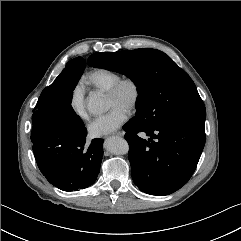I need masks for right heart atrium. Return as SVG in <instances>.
Returning a JSON list of instances; mask_svg holds the SVG:
<instances>
[{
	"mask_svg": "<svg viewBox=\"0 0 241 241\" xmlns=\"http://www.w3.org/2000/svg\"><path fill=\"white\" fill-rule=\"evenodd\" d=\"M70 106L75 115L81 119H87L88 113L85 102V90L80 84L76 85L72 91Z\"/></svg>",
	"mask_w": 241,
	"mask_h": 241,
	"instance_id": "right-heart-atrium-1",
	"label": "right heart atrium"
}]
</instances>
